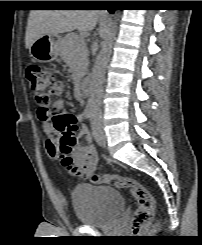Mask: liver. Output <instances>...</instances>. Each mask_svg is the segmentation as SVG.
<instances>
[{
	"instance_id": "6515ba94",
	"label": "liver",
	"mask_w": 202,
	"mask_h": 245,
	"mask_svg": "<svg viewBox=\"0 0 202 245\" xmlns=\"http://www.w3.org/2000/svg\"><path fill=\"white\" fill-rule=\"evenodd\" d=\"M99 15L96 10H31L25 46L30 49L36 39L46 34H62L75 29L79 32L92 31Z\"/></svg>"
}]
</instances>
